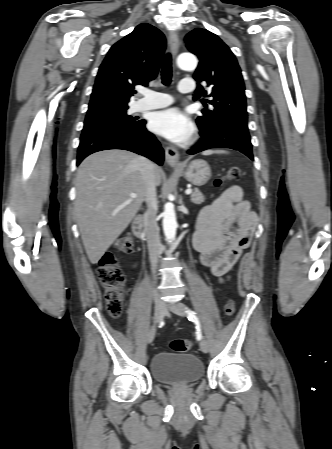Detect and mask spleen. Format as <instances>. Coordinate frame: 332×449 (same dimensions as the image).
Segmentation results:
<instances>
[{"label":"spleen","instance_id":"obj_1","mask_svg":"<svg viewBox=\"0 0 332 449\" xmlns=\"http://www.w3.org/2000/svg\"><path fill=\"white\" fill-rule=\"evenodd\" d=\"M213 153H226V151H223V150H216V151L209 150V151H205L203 154L204 155H210V154H213Z\"/></svg>","mask_w":332,"mask_h":449}]
</instances>
